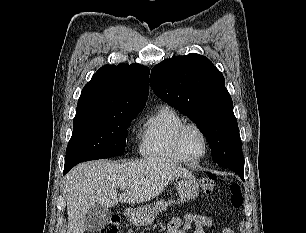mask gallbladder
<instances>
[{
    "instance_id": "obj_1",
    "label": "gallbladder",
    "mask_w": 306,
    "mask_h": 233,
    "mask_svg": "<svg viewBox=\"0 0 306 233\" xmlns=\"http://www.w3.org/2000/svg\"><path fill=\"white\" fill-rule=\"evenodd\" d=\"M109 219V209L100 204H95L86 214L85 229L91 233L100 231L108 224Z\"/></svg>"
}]
</instances>
